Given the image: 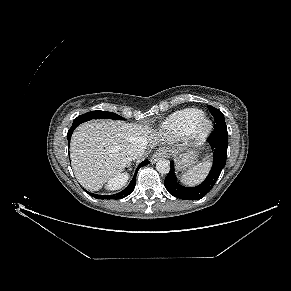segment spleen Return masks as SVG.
<instances>
[{"label":"spleen","instance_id":"spleen-1","mask_svg":"<svg viewBox=\"0 0 291 291\" xmlns=\"http://www.w3.org/2000/svg\"><path fill=\"white\" fill-rule=\"evenodd\" d=\"M211 167V162L209 160L203 161L193 168L188 170L184 175L181 176V183L194 186L201 183L207 176Z\"/></svg>","mask_w":291,"mask_h":291}]
</instances>
